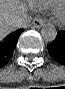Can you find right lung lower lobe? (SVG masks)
Segmentation results:
<instances>
[{"label": "right lung lower lobe", "instance_id": "1", "mask_svg": "<svg viewBox=\"0 0 65 89\" xmlns=\"http://www.w3.org/2000/svg\"><path fill=\"white\" fill-rule=\"evenodd\" d=\"M24 29H18L11 33L3 42H0V68L4 67L11 59L18 38Z\"/></svg>", "mask_w": 65, "mask_h": 89}]
</instances>
